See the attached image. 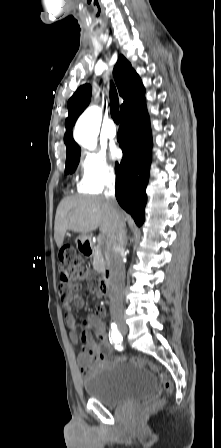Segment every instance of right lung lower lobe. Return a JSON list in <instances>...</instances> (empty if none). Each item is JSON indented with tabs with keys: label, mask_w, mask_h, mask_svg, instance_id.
Segmentation results:
<instances>
[{
	"label": "right lung lower lobe",
	"mask_w": 221,
	"mask_h": 448,
	"mask_svg": "<svg viewBox=\"0 0 221 448\" xmlns=\"http://www.w3.org/2000/svg\"><path fill=\"white\" fill-rule=\"evenodd\" d=\"M120 123L118 141L123 159L120 164H115V195L120 206L141 226L145 218V190L152 148L145 98L120 113Z\"/></svg>",
	"instance_id": "98d812e1"
}]
</instances>
